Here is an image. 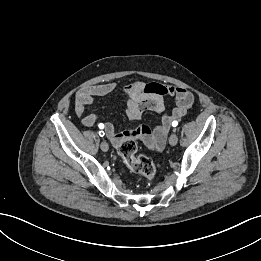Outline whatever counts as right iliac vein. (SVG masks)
<instances>
[{"mask_svg":"<svg viewBox=\"0 0 261 261\" xmlns=\"http://www.w3.org/2000/svg\"><path fill=\"white\" fill-rule=\"evenodd\" d=\"M100 147H101V150L104 151V152H107L108 149H109V145H108V143L105 142V141H103V142L101 143Z\"/></svg>","mask_w":261,"mask_h":261,"instance_id":"63e3f726","label":"right iliac vein"}]
</instances>
